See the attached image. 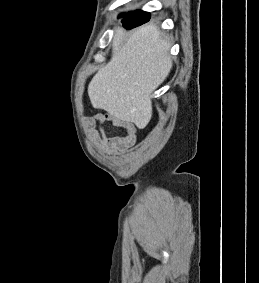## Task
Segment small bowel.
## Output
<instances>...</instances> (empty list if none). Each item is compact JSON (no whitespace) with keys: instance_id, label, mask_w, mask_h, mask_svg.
<instances>
[{"instance_id":"obj_1","label":"small bowel","mask_w":259,"mask_h":283,"mask_svg":"<svg viewBox=\"0 0 259 283\" xmlns=\"http://www.w3.org/2000/svg\"><path fill=\"white\" fill-rule=\"evenodd\" d=\"M106 122L123 128L125 131L124 135L107 136L103 134L102 125ZM85 124L91 139L96 143H100L111 154L127 150L133 146L136 141V129L134 125L127 120L117 118L111 114L97 113L87 117Z\"/></svg>"}]
</instances>
